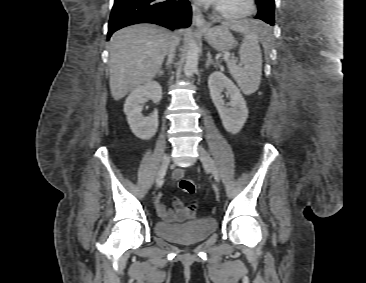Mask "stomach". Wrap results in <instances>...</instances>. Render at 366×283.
I'll use <instances>...</instances> for the list:
<instances>
[{
  "mask_svg": "<svg viewBox=\"0 0 366 283\" xmlns=\"http://www.w3.org/2000/svg\"><path fill=\"white\" fill-rule=\"evenodd\" d=\"M251 31V29H249ZM205 40L208 42L210 46H212L215 50L220 52H227L236 45V41L234 37L230 33L229 29L224 26H218L209 28L205 31H202Z\"/></svg>",
  "mask_w": 366,
  "mask_h": 283,
  "instance_id": "0dacf381",
  "label": "stomach"
}]
</instances>
